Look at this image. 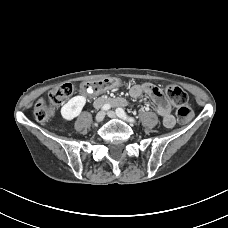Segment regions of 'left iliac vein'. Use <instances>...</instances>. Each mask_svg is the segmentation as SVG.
Here are the masks:
<instances>
[{
  "label": "left iliac vein",
  "instance_id": "1",
  "mask_svg": "<svg viewBox=\"0 0 228 228\" xmlns=\"http://www.w3.org/2000/svg\"><path fill=\"white\" fill-rule=\"evenodd\" d=\"M107 115L110 117V118H116L117 116H116V113L114 112V111H109L108 113H107Z\"/></svg>",
  "mask_w": 228,
  "mask_h": 228
}]
</instances>
